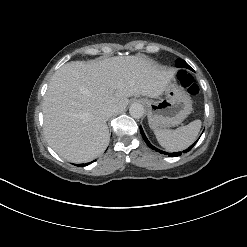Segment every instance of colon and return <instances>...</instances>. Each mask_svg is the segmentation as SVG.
<instances>
[{"instance_id":"5ec220e1","label":"colon","mask_w":247,"mask_h":247,"mask_svg":"<svg viewBox=\"0 0 247 247\" xmlns=\"http://www.w3.org/2000/svg\"><path fill=\"white\" fill-rule=\"evenodd\" d=\"M181 85L186 89L190 95H197L199 92V86L196 79L189 73L180 71L177 75Z\"/></svg>"}]
</instances>
